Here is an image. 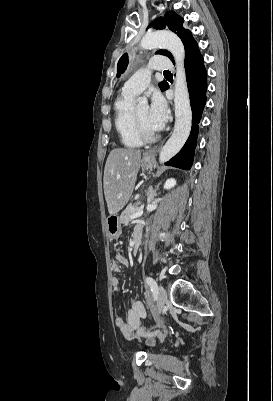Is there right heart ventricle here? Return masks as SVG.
<instances>
[{"instance_id":"obj_1","label":"right heart ventricle","mask_w":273,"mask_h":401,"mask_svg":"<svg viewBox=\"0 0 273 401\" xmlns=\"http://www.w3.org/2000/svg\"><path fill=\"white\" fill-rule=\"evenodd\" d=\"M134 95L122 93L114 101V125L122 144L126 147L136 148L143 145L132 118L130 105Z\"/></svg>"}]
</instances>
